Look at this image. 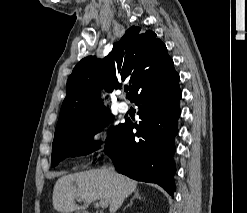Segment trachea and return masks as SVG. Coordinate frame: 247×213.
Returning a JSON list of instances; mask_svg holds the SVG:
<instances>
[{
  "instance_id": "trachea-1",
  "label": "trachea",
  "mask_w": 247,
  "mask_h": 213,
  "mask_svg": "<svg viewBox=\"0 0 247 213\" xmlns=\"http://www.w3.org/2000/svg\"><path fill=\"white\" fill-rule=\"evenodd\" d=\"M128 90H129V88H125V89H124L125 92H128Z\"/></svg>"
}]
</instances>
